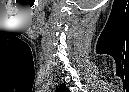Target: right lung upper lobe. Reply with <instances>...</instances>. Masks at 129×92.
Returning <instances> with one entry per match:
<instances>
[{"label":"right lung upper lobe","instance_id":"obj_1","mask_svg":"<svg viewBox=\"0 0 129 92\" xmlns=\"http://www.w3.org/2000/svg\"><path fill=\"white\" fill-rule=\"evenodd\" d=\"M60 89H61V90H65V89H66L65 85L62 84V85L60 86Z\"/></svg>","mask_w":129,"mask_h":92}]
</instances>
